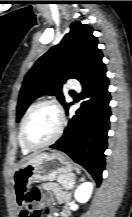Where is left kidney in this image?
I'll list each match as a JSON object with an SVG mask.
<instances>
[{
  "mask_svg": "<svg viewBox=\"0 0 132 217\" xmlns=\"http://www.w3.org/2000/svg\"><path fill=\"white\" fill-rule=\"evenodd\" d=\"M93 191V184L91 182H84L75 190L74 197L80 203H86L91 197Z\"/></svg>",
  "mask_w": 132,
  "mask_h": 217,
  "instance_id": "obj_1",
  "label": "left kidney"
}]
</instances>
